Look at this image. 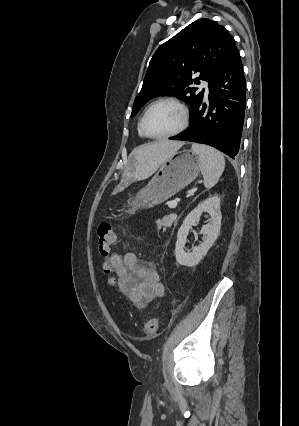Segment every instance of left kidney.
<instances>
[{
  "label": "left kidney",
  "mask_w": 299,
  "mask_h": 426,
  "mask_svg": "<svg viewBox=\"0 0 299 426\" xmlns=\"http://www.w3.org/2000/svg\"><path fill=\"white\" fill-rule=\"evenodd\" d=\"M203 212H208L211 217L209 224L204 225L200 231L203 234V242L194 247L192 252L184 250L189 229L200 220ZM220 198L212 196L199 203L185 218L178 230L175 247L176 260L180 265L193 267L207 254L217 239L221 228Z\"/></svg>",
  "instance_id": "obj_1"
}]
</instances>
